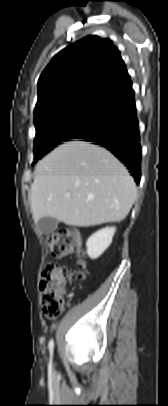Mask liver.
Masks as SVG:
<instances>
[{
    "label": "liver",
    "mask_w": 168,
    "mask_h": 406,
    "mask_svg": "<svg viewBox=\"0 0 168 406\" xmlns=\"http://www.w3.org/2000/svg\"><path fill=\"white\" fill-rule=\"evenodd\" d=\"M30 203L35 222L52 217L70 226L120 222L136 198V185L108 150L68 141L38 162Z\"/></svg>",
    "instance_id": "6515ba94"
}]
</instances>
